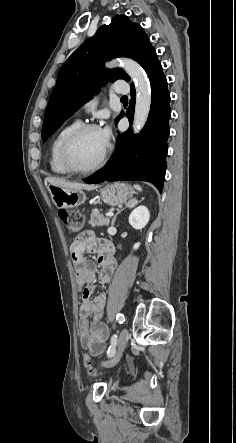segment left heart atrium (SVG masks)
Wrapping results in <instances>:
<instances>
[{
	"label": "left heart atrium",
	"instance_id": "1",
	"mask_svg": "<svg viewBox=\"0 0 236 443\" xmlns=\"http://www.w3.org/2000/svg\"><path fill=\"white\" fill-rule=\"evenodd\" d=\"M100 131L102 133L104 141L106 142V144H108L109 140H110V136H111V129H110V127L106 126V127L102 128Z\"/></svg>",
	"mask_w": 236,
	"mask_h": 443
}]
</instances>
